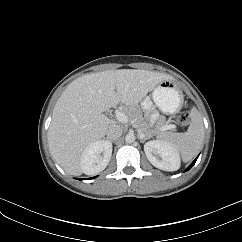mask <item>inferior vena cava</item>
I'll list each match as a JSON object with an SVG mask.
<instances>
[{
    "mask_svg": "<svg viewBox=\"0 0 242 242\" xmlns=\"http://www.w3.org/2000/svg\"><path fill=\"white\" fill-rule=\"evenodd\" d=\"M122 133H123L122 128L117 124L110 125L106 131V135L108 139H111V140L119 138L122 135Z\"/></svg>",
    "mask_w": 242,
    "mask_h": 242,
    "instance_id": "1",
    "label": "inferior vena cava"
}]
</instances>
